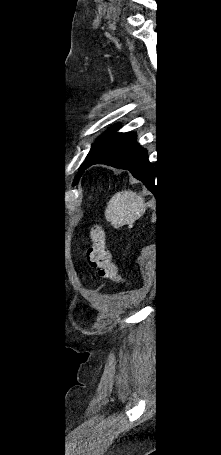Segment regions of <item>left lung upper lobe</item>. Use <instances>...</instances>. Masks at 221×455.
Returning a JSON list of instances; mask_svg holds the SVG:
<instances>
[{"mask_svg":"<svg viewBox=\"0 0 221 455\" xmlns=\"http://www.w3.org/2000/svg\"><path fill=\"white\" fill-rule=\"evenodd\" d=\"M118 130V125L113 126L107 132L102 134L96 141L95 144L92 145L90 152L88 153L86 160L83 162L81 167L79 168V172L75 179L79 178L84 166L86 163L91 160L95 155H97L109 142H111L114 138H116L121 133H115Z\"/></svg>","mask_w":221,"mask_h":455,"instance_id":"5c2ea615","label":"left lung upper lobe"}]
</instances>
